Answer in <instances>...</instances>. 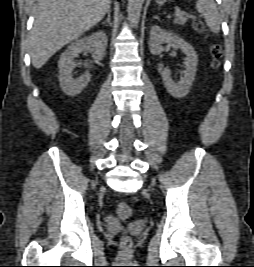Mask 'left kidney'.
<instances>
[{"instance_id": "5707ae66", "label": "left kidney", "mask_w": 254, "mask_h": 267, "mask_svg": "<svg viewBox=\"0 0 254 267\" xmlns=\"http://www.w3.org/2000/svg\"><path fill=\"white\" fill-rule=\"evenodd\" d=\"M164 44H167L175 49H180L186 55L184 59L185 70L182 72L183 76L180 81H174L171 78V74L168 69H163L161 73L168 93L173 97L183 98L188 94L194 81L197 71L198 56L194 48L184 39L180 38L176 34L167 32L158 25L153 26L150 31L149 42L151 54H161L164 51Z\"/></svg>"}]
</instances>
